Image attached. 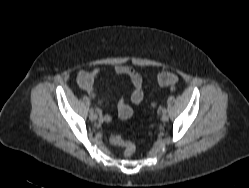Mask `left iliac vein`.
<instances>
[{
    "instance_id": "1",
    "label": "left iliac vein",
    "mask_w": 249,
    "mask_h": 188,
    "mask_svg": "<svg viewBox=\"0 0 249 188\" xmlns=\"http://www.w3.org/2000/svg\"><path fill=\"white\" fill-rule=\"evenodd\" d=\"M168 119H169L168 114H167V113H163L162 116H161V120H162L163 122H167Z\"/></svg>"
}]
</instances>
